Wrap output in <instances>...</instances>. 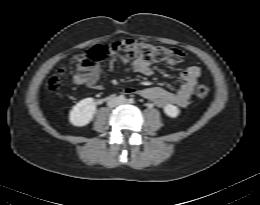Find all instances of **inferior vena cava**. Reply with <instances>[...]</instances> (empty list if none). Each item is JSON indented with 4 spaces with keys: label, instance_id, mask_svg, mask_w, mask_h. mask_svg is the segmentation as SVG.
<instances>
[{
    "label": "inferior vena cava",
    "instance_id": "602c4592",
    "mask_svg": "<svg viewBox=\"0 0 260 205\" xmlns=\"http://www.w3.org/2000/svg\"><path fill=\"white\" fill-rule=\"evenodd\" d=\"M120 104H121L120 101H115V100H113V99L108 102V106H109V107H115V106H118V105H120Z\"/></svg>",
    "mask_w": 260,
    "mask_h": 205
}]
</instances>
